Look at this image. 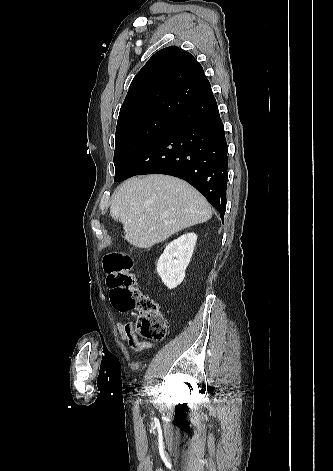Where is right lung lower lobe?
<instances>
[{"mask_svg": "<svg viewBox=\"0 0 333 471\" xmlns=\"http://www.w3.org/2000/svg\"><path fill=\"white\" fill-rule=\"evenodd\" d=\"M227 151L224 126L210 90L183 109L117 181L153 173L184 179L204 195L223 220L227 202Z\"/></svg>", "mask_w": 333, "mask_h": 471, "instance_id": "right-lung-lower-lobe-1", "label": "right lung lower lobe"}]
</instances>
